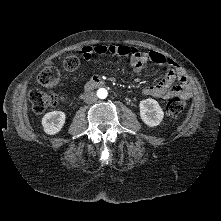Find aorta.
Returning a JSON list of instances; mask_svg holds the SVG:
<instances>
[{
    "label": "aorta",
    "mask_w": 221,
    "mask_h": 221,
    "mask_svg": "<svg viewBox=\"0 0 221 221\" xmlns=\"http://www.w3.org/2000/svg\"><path fill=\"white\" fill-rule=\"evenodd\" d=\"M108 95V92L105 88H100L98 89L97 91V96L100 98V99H105Z\"/></svg>",
    "instance_id": "1"
}]
</instances>
